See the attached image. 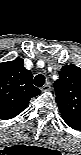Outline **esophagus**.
Returning <instances> with one entry per match:
<instances>
[{
  "label": "esophagus",
  "mask_w": 81,
  "mask_h": 155,
  "mask_svg": "<svg viewBox=\"0 0 81 155\" xmlns=\"http://www.w3.org/2000/svg\"><path fill=\"white\" fill-rule=\"evenodd\" d=\"M41 90H42L43 92H45V91H50V90H51L50 84H49V83H46L45 85L42 86Z\"/></svg>",
  "instance_id": "34e87169"
}]
</instances>
